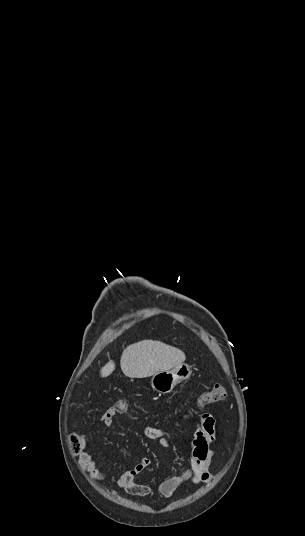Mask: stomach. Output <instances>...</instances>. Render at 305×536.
Here are the masks:
<instances>
[{"mask_svg":"<svg viewBox=\"0 0 305 536\" xmlns=\"http://www.w3.org/2000/svg\"><path fill=\"white\" fill-rule=\"evenodd\" d=\"M192 374L191 366L188 364H179L175 366L173 370H165V372H157L153 374L151 380V386L155 392L159 394H169L172 392L174 386L180 384V382H185L189 380Z\"/></svg>","mask_w":305,"mask_h":536,"instance_id":"obj_1","label":"stomach"}]
</instances>
